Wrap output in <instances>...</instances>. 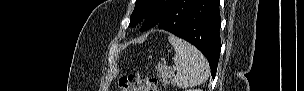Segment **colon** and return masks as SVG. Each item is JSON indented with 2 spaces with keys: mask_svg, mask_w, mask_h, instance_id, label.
<instances>
[{
  "mask_svg": "<svg viewBox=\"0 0 304 91\" xmlns=\"http://www.w3.org/2000/svg\"><path fill=\"white\" fill-rule=\"evenodd\" d=\"M119 89L121 91H157L158 81L155 78L133 74L119 80Z\"/></svg>",
  "mask_w": 304,
  "mask_h": 91,
  "instance_id": "obj_1",
  "label": "colon"
}]
</instances>
